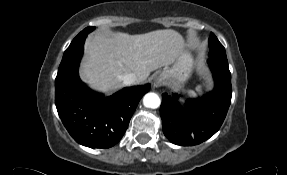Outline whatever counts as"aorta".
Returning <instances> with one entry per match:
<instances>
[{"label":"aorta","mask_w":287,"mask_h":175,"mask_svg":"<svg viewBox=\"0 0 287 175\" xmlns=\"http://www.w3.org/2000/svg\"><path fill=\"white\" fill-rule=\"evenodd\" d=\"M161 100L156 93H147L143 98V104L147 108L156 109L160 106Z\"/></svg>","instance_id":"aorta-1"}]
</instances>
